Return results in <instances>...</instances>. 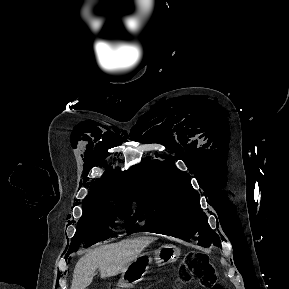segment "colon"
Masks as SVG:
<instances>
[{
	"label": "colon",
	"mask_w": 289,
	"mask_h": 289,
	"mask_svg": "<svg viewBox=\"0 0 289 289\" xmlns=\"http://www.w3.org/2000/svg\"><path fill=\"white\" fill-rule=\"evenodd\" d=\"M182 281L186 284H195L208 289H224L217 283L209 264L199 255H193L186 264Z\"/></svg>",
	"instance_id": "obj_1"
}]
</instances>
